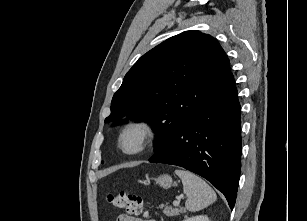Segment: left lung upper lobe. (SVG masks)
I'll list each match as a JSON object with an SVG mask.
<instances>
[{"label":"left lung upper lobe","instance_id":"left-lung-upper-lobe-1","mask_svg":"<svg viewBox=\"0 0 307 221\" xmlns=\"http://www.w3.org/2000/svg\"><path fill=\"white\" fill-rule=\"evenodd\" d=\"M233 79L229 60L210 35L186 31L144 54L125 75L105 122L145 120L157 128L155 152Z\"/></svg>","mask_w":307,"mask_h":221}]
</instances>
